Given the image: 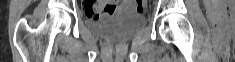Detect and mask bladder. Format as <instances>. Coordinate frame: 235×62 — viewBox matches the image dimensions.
Masks as SVG:
<instances>
[{
  "label": "bladder",
  "instance_id": "obj_1",
  "mask_svg": "<svg viewBox=\"0 0 235 62\" xmlns=\"http://www.w3.org/2000/svg\"><path fill=\"white\" fill-rule=\"evenodd\" d=\"M147 23L144 13L132 4H125L113 13L101 18L85 17L86 26L94 33L114 39H122L143 29Z\"/></svg>",
  "mask_w": 235,
  "mask_h": 62
}]
</instances>
